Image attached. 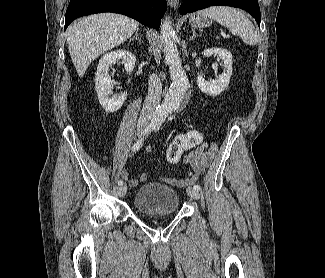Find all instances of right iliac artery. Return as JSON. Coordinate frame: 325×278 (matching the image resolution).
I'll list each match as a JSON object with an SVG mask.
<instances>
[{
    "mask_svg": "<svg viewBox=\"0 0 325 278\" xmlns=\"http://www.w3.org/2000/svg\"><path fill=\"white\" fill-rule=\"evenodd\" d=\"M154 127H155V125L150 124L145 128V130L143 131L142 136L133 144L132 151H138L143 146L145 137L154 129ZM118 185L122 186L123 181L119 180Z\"/></svg>",
    "mask_w": 325,
    "mask_h": 278,
    "instance_id": "1",
    "label": "right iliac artery"
}]
</instances>
